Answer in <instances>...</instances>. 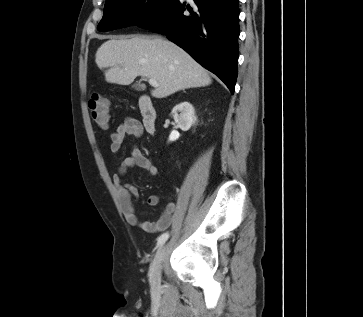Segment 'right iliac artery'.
I'll use <instances>...</instances> for the list:
<instances>
[{
    "label": "right iliac artery",
    "instance_id": "obj_1",
    "mask_svg": "<svg viewBox=\"0 0 363 317\" xmlns=\"http://www.w3.org/2000/svg\"><path fill=\"white\" fill-rule=\"evenodd\" d=\"M168 238H169V233H163L162 235H160L157 240V247L162 246ZM151 269H150V271H151Z\"/></svg>",
    "mask_w": 363,
    "mask_h": 317
}]
</instances>
